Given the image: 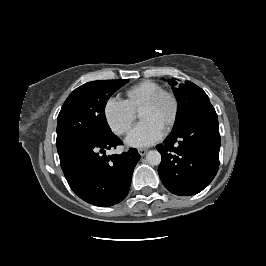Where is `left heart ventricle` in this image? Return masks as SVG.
Segmentation results:
<instances>
[{
    "mask_svg": "<svg viewBox=\"0 0 266 266\" xmlns=\"http://www.w3.org/2000/svg\"><path fill=\"white\" fill-rule=\"evenodd\" d=\"M172 113V103L169 99H164L158 105L144 107L141 110L140 117L142 120L154 119L163 126Z\"/></svg>",
    "mask_w": 266,
    "mask_h": 266,
    "instance_id": "b2bd125f",
    "label": "left heart ventricle"
}]
</instances>
